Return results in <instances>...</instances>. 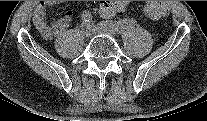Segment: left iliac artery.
I'll use <instances>...</instances> for the list:
<instances>
[{
    "instance_id": "left-iliac-artery-1",
    "label": "left iliac artery",
    "mask_w": 207,
    "mask_h": 121,
    "mask_svg": "<svg viewBox=\"0 0 207 121\" xmlns=\"http://www.w3.org/2000/svg\"><path fill=\"white\" fill-rule=\"evenodd\" d=\"M102 27L111 29L114 33H121L135 25L134 19H125L124 22L103 21L99 24Z\"/></svg>"
}]
</instances>
